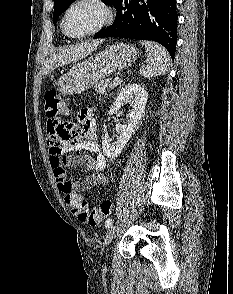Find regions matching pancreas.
<instances>
[{"label": "pancreas", "instance_id": "1", "mask_svg": "<svg viewBox=\"0 0 233 294\" xmlns=\"http://www.w3.org/2000/svg\"><path fill=\"white\" fill-rule=\"evenodd\" d=\"M118 85L116 81H113L111 78L101 80L98 82L94 89L99 94H104L106 92V89L109 87L110 89L115 88Z\"/></svg>", "mask_w": 233, "mask_h": 294}]
</instances>
